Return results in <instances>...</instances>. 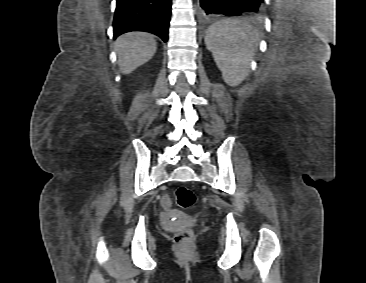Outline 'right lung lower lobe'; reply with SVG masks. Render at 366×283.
Instances as JSON below:
<instances>
[{
	"instance_id": "98d812e1",
	"label": "right lung lower lobe",
	"mask_w": 366,
	"mask_h": 283,
	"mask_svg": "<svg viewBox=\"0 0 366 283\" xmlns=\"http://www.w3.org/2000/svg\"><path fill=\"white\" fill-rule=\"evenodd\" d=\"M171 0H116L114 39L130 31H146L168 39Z\"/></svg>"
}]
</instances>
